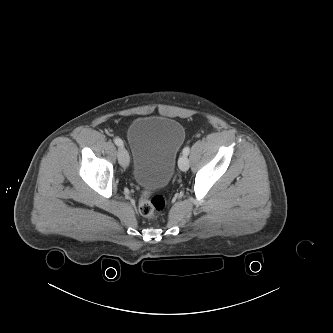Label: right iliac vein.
<instances>
[{"instance_id": "obj_1", "label": "right iliac vein", "mask_w": 333, "mask_h": 333, "mask_svg": "<svg viewBox=\"0 0 333 333\" xmlns=\"http://www.w3.org/2000/svg\"><path fill=\"white\" fill-rule=\"evenodd\" d=\"M118 161L120 163V165L124 168H127L129 165V154L127 152V150L123 147L118 149Z\"/></svg>"}]
</instances>
